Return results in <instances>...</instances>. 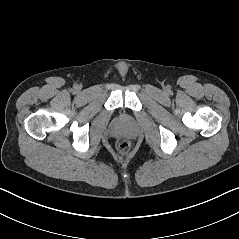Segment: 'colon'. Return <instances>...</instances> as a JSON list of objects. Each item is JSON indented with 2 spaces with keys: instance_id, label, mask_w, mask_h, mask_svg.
<instances>
[{
  "instance_id": "1",
  "label": "colon",
  "mask_w": 239,
  "mask_h": 239,
  "mask_svg": "<svg viewBox=\"0 0 239 239\" xmlns=\"http://www.w3.org/2000/svg\"><path fill=\"white\" fill-rule=\"evenodd\" d=\"M129 148V143L126 141V140H120L118 141L117 143V149L120 151V152H125L127 151Z\"/></svg>"
}]
</instances>
